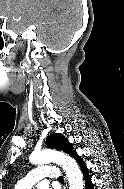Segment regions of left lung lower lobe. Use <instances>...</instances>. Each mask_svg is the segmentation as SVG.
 <instances>
[{
    "label": "left lung lower lobe",
    "instance_id": "1",
    "mask_svg": "<svg viewBox=\"0 0 124 189\" xmlns=\"http://www.w3.org/2000/svg\"><path fill=\"white\" fill-rule=\"evenodd\" d=\"M73 158H75L77 160V162H78V164L81 168V171L83 173V177H84V181H85V189H93V184H92L91 177L89 175V171H88V168L86 166V163L78 155H76Z\"/></svg>",
    "mask_w": 124,
    "mask_h": 189
}]
</instances>
